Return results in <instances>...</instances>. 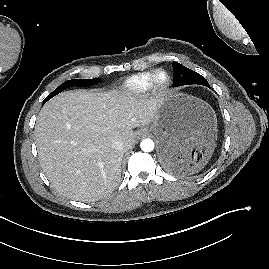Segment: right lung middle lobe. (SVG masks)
<instances>
[{
    "instance_id": "obj_1",
    "label": "right lung middle lobe",
    "mask_w": 269,
    "mask_h": 269,
    "mask_svg": "<svg viewBox=\"0 0 269 269\" xmlns=\"http://www.w3.org/2000/svg\"><path fill=\"white\" fill-rule=\"evenodd\" d=\"M100 79L93 78V79H74V80H68L64 82L62 85H60L58 88H56L51 94H49L45 100L44 103L47 102L49 99L57 95L58 93L62 92L66 88L78 86V87H88L92 86L96 83H98Z\"/></svg>"
}]
</instances>
